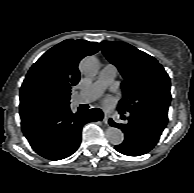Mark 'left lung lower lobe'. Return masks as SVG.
Here are the masks:
<instances>
[{
    "mask_svg": "<svg viewBox=\"0 0 194 193\" xmlns=\"http://www.w3.org/2000/svg\"><path fill=\"white\" fill-rule=\"evenodd\" d=\"M118 110L120 114L125 113ZM167 121L168 112L161 111H130L126 124H118L110 119L109 124L121 129L125 134L124 141L116 145L115 149L128 156L148 153L159 141Z\"/></svg>",
    "mask_w": 194,
    "mask_h": 193,
    "instance_id": "left-lung-lower-lobe-1",
    "label": "left lung lower lobe"
}]
</instances>
